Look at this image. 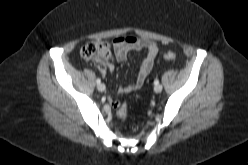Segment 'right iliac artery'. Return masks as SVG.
Here are the masks:
<instances>
[{
	"instance_id": "right-iliac-artery-1",
	"label": "right iliac artery",
	"mask_w": 248,
	"mask_h": 165,
	"mask_svg": "<svg viewBox=\"0 0 248 165\" xmlns=\"http://www.w3.org/2000/svg\"><path fill=\"white\" fill-rule=\"evenodd\" d=\"M96 83H97V84H100V83H101V80H100V79H97V80H96Z\"/></svg>"
}]
</instances>
